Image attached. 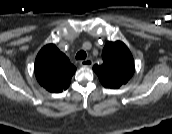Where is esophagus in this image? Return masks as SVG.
<instances>
[{
    "mask_svg": "<svg viewBox=\"0 0 172 134\" xmlns=\"http://www.w3.org/2000/svg\"><path fill=\"white\" fill-rule=\"evenodd\" d=\"M93 61L91 59H86V60H81L80 65L85 66V67H92L93 66Z\"/></svg>",
    "mask_w": 172,
    "mask_h": 134,
    "instance_id": "1",
    "label": "esophagus"
}]
</instances>
